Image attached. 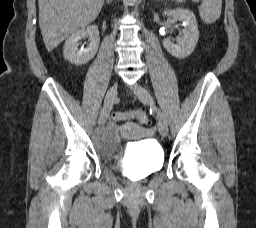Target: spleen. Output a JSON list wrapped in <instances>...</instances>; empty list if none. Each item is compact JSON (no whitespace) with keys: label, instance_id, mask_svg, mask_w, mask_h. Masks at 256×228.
Here are the masks:
<instances>
[{"label":"spleen","instance_id":"3e777b00","mask_svg":"<svg viewBox=\"0 0 256 228\" xmlns=\"http://www.w3.org/2000/svg\"><path fill=\"white\" fill-rule=\"evenodd\" d=\"M221 9L222 0H202V4L199 7V14L203 22L212 24L219 19Z\"/></svg>","mask_w":256,"mask_h":228}]
</instances>
